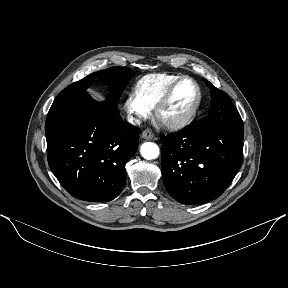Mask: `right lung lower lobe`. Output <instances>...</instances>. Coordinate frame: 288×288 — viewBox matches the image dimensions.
<instances>
[{
    "mask_svg": "<svg viewBox=\"0 0 288 288\" xmlns=\"http://www.w3.org/2000/svg\"><path fill=\"white\" fill-rule=\"evenodd\" d=\"M139 133L108 101L96 102L86 91L71 96L51 107L46 119L50 169L73 197L111 201L125 185Z\"/></svg>",
    "mask_w": 288,
    "mask_h": 288,
    "instance_id": "1",
    "label": "right lung lower lobe"
}]
</instances>
